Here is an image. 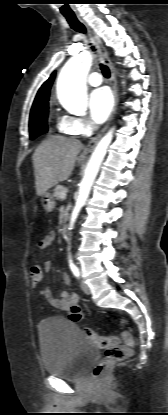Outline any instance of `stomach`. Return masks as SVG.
Segmentation results:
<instances>
[{
	"mask_svg": "<svg viewBox=\"0 0 168 415\" xmlns=\"http://www.w3.org/2000/svg\"><path fill=\"white\" fill-rule=\"evenodd\" d=\"M41 202L46 212H51L55 207V201L50 193L42 195Z\"/></svg>",
	"mask_w": 168,
	"mask_h": 415,
	"instance_id": "stomach-1",
	"label": "stomach"
}]
</instances>
